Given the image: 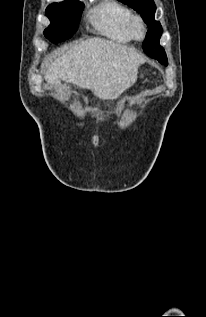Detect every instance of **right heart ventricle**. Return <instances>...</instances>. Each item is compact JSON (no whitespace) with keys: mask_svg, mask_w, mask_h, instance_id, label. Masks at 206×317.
<instances>
[{"mask_svg":"<svg viewBox=\"0 0 206 317\" xmlns=\"http://www.w3.org/2000/svg\"><path fill=\"white\" fill-rule=\"evenodd\" d=\"M131 16V10L118 0H103L91 13L95 29L119 43H129L134 38L130 32Z\"/></svg>","mask_w":206,"mask_h":317,"instance_id":"right-heart-ventricle-1","label":"right heart ventricle"}]
</instances>
